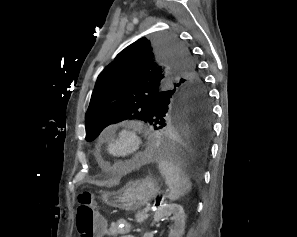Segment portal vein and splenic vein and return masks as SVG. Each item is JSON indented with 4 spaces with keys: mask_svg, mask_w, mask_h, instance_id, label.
I'll return each instance as SVG.
<instances>
[{
    "mask_svg": "<svg viewBox=\"0 0 297 237\" xmlns=\"http://www.w3.org/2000/svg\"><path fill=\"white\" fill-rule=\"evenodd\" d=\"M150 210H151V205L148 204V205L146 206V208H145V211L148 212V211H150Z\"/></svg>",
    "mask_w": 297,
    "mask_h": 237,
    "instance_id": "18ae733b",
    "label": "portal vein and splenic vein"
}]
</instances>
